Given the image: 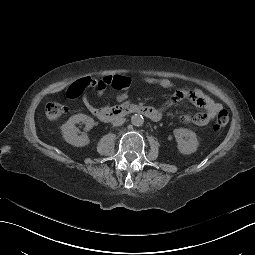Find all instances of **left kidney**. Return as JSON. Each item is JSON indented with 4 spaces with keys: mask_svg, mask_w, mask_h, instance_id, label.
Masks as SVG:
<instances>
[{
    "mask_svg": "<svg viewBox=\"0 0 255 255\" xmlns=\"http://www.w3.org/2000/svg\"><path fill=\"white\" fill-rule=\"evenodd\" d=\"M174 136L178 143V149L181 153L191 154L197 150L199 143L196 134L193 131L185 128L175 129Z\"/></svg>",
    "mask_w": 255,
    "mask_h": 255,
    "instance_id": "left-kidney-1",
    "label": "left kidney"
}]
</instances>
